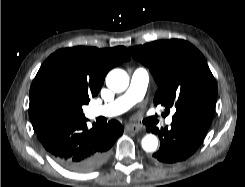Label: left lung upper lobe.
<instances>
[{
  "mask_svg": "<svg viewBox=\"0 0 245 187\" xmlns=\"http://www.w3.org/2000/svg\"><path fill=\"white\" fill-rule=\"evenodd\" d=\"M131 55L149 67L158 85L155 105L176 112L173 121L212 120L217 85L201 52L180 39L159 40L129 48Z\"/></svg>",
  "mask_w": 245,
  "mask_h": 187,
  "instance_id": "5c2ea615",
  "label": "left lung upper lobe"
}]
</instances>
